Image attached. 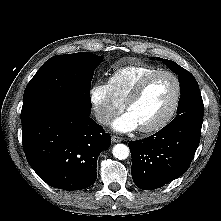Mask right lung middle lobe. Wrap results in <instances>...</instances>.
<instances>
[{
    "instance_id": "right-lung-middle-lobe-1",
    "label": "right lung middle lobe",
    "mask_w": 221,
    "mask_h": 221,
    "mask_svg": "<svg viewBox=\"0 0 221 221\" xmlns=\"http://www.w3.org/2000/svg\"><path fill=\"white\" fill-rule=\"evenodd\" d=\"M101 57L87 52L57 55L47 60L28 83L21 122L52 105H67L90 113V85Z\"/></svg>"
}]
</instances>
